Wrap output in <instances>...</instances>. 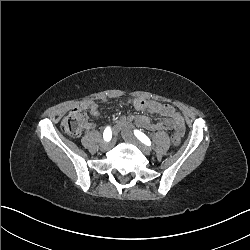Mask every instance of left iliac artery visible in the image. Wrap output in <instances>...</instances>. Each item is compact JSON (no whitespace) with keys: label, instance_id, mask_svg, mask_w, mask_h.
<instances>
[{"label":"left iliac artery","instance_id":"44dca946","mask_svg":"<svg viewBox=\"0 0 250 250\" xmlns=\"http://www.w3.org/2000/svg\"><path fill=\"white\" fill-rule=\"evenodd\" d=\"M134 134L145 145H147V146L151 145L150 139L144 133H142L141 131L134 130Z\"/></svg>","mask_w":250,"mask_h":250}]
</instances>
